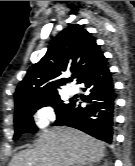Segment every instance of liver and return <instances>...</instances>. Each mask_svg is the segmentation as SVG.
I'll use <instances>...</instances> for the list:
<instances>
[{
	"label": "liver",
	"mask_w": 135,
	"mask_h": 166,
	"mask_svg": "<svg viewBox=\"0 0 135 166\" xmlns=\"http://www.w3.org/2000/svg\"><path fill=\"white\" fill-rule=\"evenodd\" d=\"M104 144L73 128L45 129L34 149L20 151L9 166H79L100 161Z\"/></svg>",
	"instance_id": "liver-1"
}]
</instances>
